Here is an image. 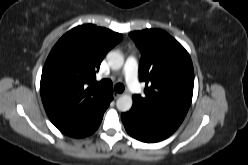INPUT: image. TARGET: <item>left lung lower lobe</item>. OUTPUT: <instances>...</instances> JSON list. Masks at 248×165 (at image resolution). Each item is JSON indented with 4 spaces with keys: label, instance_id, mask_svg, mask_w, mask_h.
Listing matches in <instances>:
<instances>
[{
    "label": "left lung lower lobe",
    "instance_id": "1",
    "mask_svg": "<svg viewBox=\"0 0 248 165\" xmlns=\"http://www.w3.org/2000/svg\"><path fill=\"white\" fill-rule=\"evenodd\" d=\"M121 119L129 135L148 143L166 139L181 124L164 116L145 111L136 105H133L130 111L122 113Z\"/></svg>",
    "mask_w": 248,
    "mask_h": 165
}]
</instances>
